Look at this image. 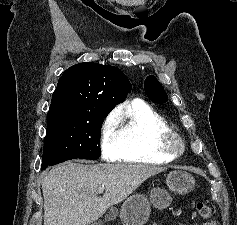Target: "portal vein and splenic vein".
<instances>
[{"label": "portal vein and splenic vein", "instance_id": "portal-vein-and-splenic-vein-1", "mask_svg": "<svg viewBox=\"0 0 237 225\" xmlns=\"http://www.w3.org/2000/svg\"><path fill=\"white\" fill-rule=\"evenodd\" d=\"M104 188H105V186L104 185H102L99 189H98V193H102L103 192V190H104Z\"/></svg>", "mask_w": 237, "mask_h": 225}]
</instances>
